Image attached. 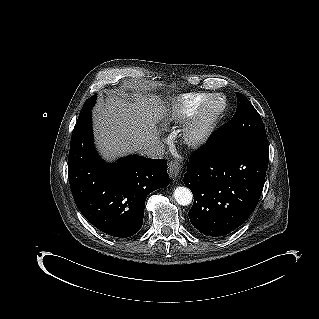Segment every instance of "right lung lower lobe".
I'll use <instances>...</instances> for the list:
<instances>
[{
	"label": "right lung lower lobe",
	"instance_id": "98d812e1",
	"mask_svg": "<svg viewBox=\"0 0 319 319\" xmlns=\"http://www.w3.org/2000/svg\"><path fill=\"white\" fill-rule=\"evenodd\" d=\"M166 165L136 155L103 162L93 146L92 112L76 122L68 159L72 194L83 216L108 235L126 238L141 229L147 195L169 185Z\"/></svg>",
	"mask_w": 319,
	"mask_h": 319
}]
</instances>
